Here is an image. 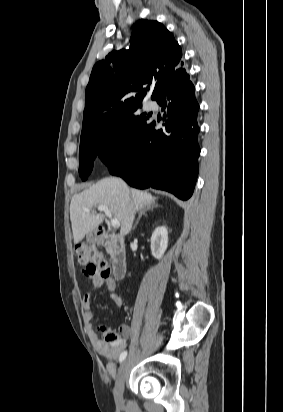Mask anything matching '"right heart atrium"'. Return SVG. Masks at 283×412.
Returning a JSON list of instances; mask_svg holds the SVG:
<instances>
[{
	"instance_id": "right-heart-atrium-1",
	"label": "right heart atrium",
	"mask_w": 283,
	"mask_h": 412,
	"mask_svg": "<svg viewBox=\"0 0 283 412\" xmlns=\"http://www.w3.org/2000/svg\"><path fill=\"white\" fill-rule=\"evenodd\" d=\"M117 145H118V141H112V142L107 146V150H108V151L113 150V149H115V148L117 147Z\"/></svg>"
}]
</instances>
